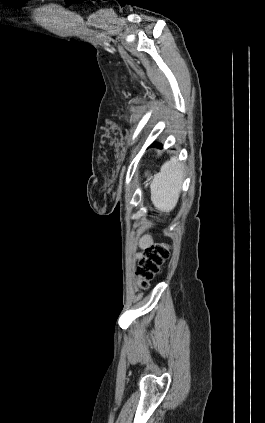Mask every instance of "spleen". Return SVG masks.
I'll use <instances>...</instances> for the list:
<instances>
[{
  "label": "spleen",
  "mask_w": 265,
  "mask_h": 423,
  "mask_svg": "<svg viewBox=\"0 0 265 423\" xmlns=\"http://www.w3.org/2000/svg\"><path fill=\"white\" fill-rule=\"evenodd\" d=\"M184 167L177 158L165 162L160 172L154 176L150 185L151 200L154 206L162 212H170L178 202L183 182Z\"/></svg>",
  "instance_id": "spleen-1"
}]
</instances>
